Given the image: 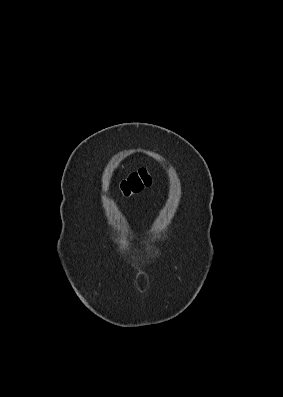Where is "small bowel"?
<instances>
[{
    "label": "small bowel",
    "mask_w": 283,
    "mask_h": 397,
    "mask_svg": "<svg viewBox=\"0 0 283 397\" xmlns=\"http://www.w3.org/2000/svg\"><path fill=\"white\" fill-rule=\"evenodd\" d=\"M132 239L135 240V241L138 240V238L136 236H133Z\"/></svg>",
    "instance_id": "1"
}]
</instances>
